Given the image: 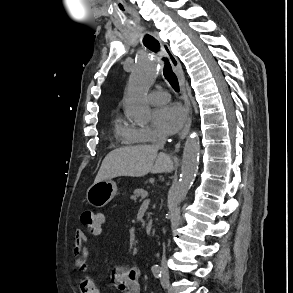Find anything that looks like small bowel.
<instances>
[{
  "instance_id": "1",
  "label": "small bowel",
  "mask_w": 293,
  "mask_h": 293,
  "mask_svg": "<svg viewBox=\"0 0 293 293\" xmlns=\"http://www.w3.org/2000/svg\"><path fill=\"white\" fill-rule=\"evenodd\" d=\"M101 220V228L95 232H89V235L98 237L102 233V227L106 224V217L104 214H98ZM88 241V235L81 229L75 231V245L74 254L76 255V267L80 271H86L87 261L89 259V251L86 247ZM112 283L122 293H141L140 285V270L135 265H120L115 267L112 272ZM81 293H90L92 287H96L92 278L89 276H83L78 283ZM98 289V288H97ZM97 293H100L99 290Z\"/></svg>"
}]
</instances>
